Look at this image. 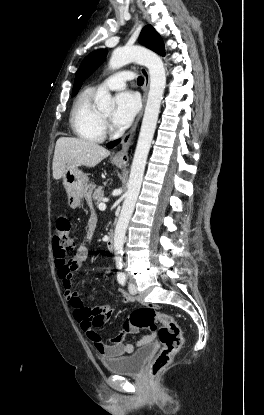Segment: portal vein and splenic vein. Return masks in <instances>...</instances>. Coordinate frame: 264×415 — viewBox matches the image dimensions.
<instances>
[{"label": "portal vein and splenic vein", "instance_id": "obj_1", "mask_svg": "<svg viewBox=\"0 0 264 415\" xmlns=\"http://www.w3.org/2000/svg\"><path fill=\"white\" fill-rule=\"evenodd\" d=\"M98 208H99V210H105V209H106V204H105L104 202H101V203L98 205Z\"/></svg>", "mask_w": 264, "mask_h": 415}]
</instances>
